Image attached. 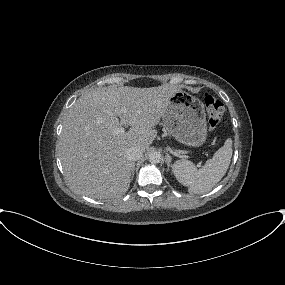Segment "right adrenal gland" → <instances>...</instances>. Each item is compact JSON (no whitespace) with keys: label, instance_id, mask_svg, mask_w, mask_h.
I'll use <instances>...</instances> for the list:
<instances>
[{"label":"right adrenal gland","instance_id":"1","mask_svg":"<svg viewBox=\"0 0 285 285\" xmlns=\"http://www.w3.org/2000/svg\"><path fill=\"white\" fill-rule=\"evenodd\" d=\"M134 171H135V164H133L131 180H133V177H134Z\"/></svg>","mask_w":285,"mask_h":285}]
</instances>
